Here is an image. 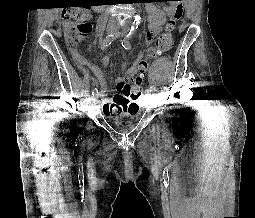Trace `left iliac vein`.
Returning a JSON list of instances; mask_svg holds the SVG:
<instances>
[{
    "mask_svg": "<svg viewBox=\"0 0 255 218\" xmlns=\"http://www.w3.org/2000/svg\"><path fill=\"white\" fill-rule=\"evenodd\" d=\"M119 36H117V38H118ZM144 99L145 100H149L150 99V95L146 92L145 93V96H144Z\"/></svg>",
    "mask_w": 255,
    "mask_h": 218,
    "instance_id": "4c4485c4",
    "label": "left iliac vein"
}]
</instances>
